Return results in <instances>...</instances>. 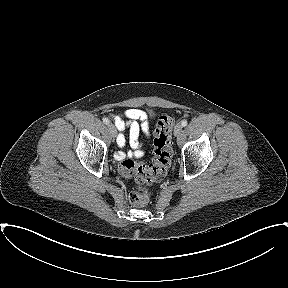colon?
Instances as JSON below:
<instances>
[{
    "label": "colon",
    "instance_id": "1",
    "mask_svg": "<svg viewBox=\"0 0 288 288\" xmlns=\"http://www.w3.org/2000/svg\"><path fill=\"white\" fill-rule=\"evenodd\" d=\"M175 119L169 115L159 118L154 139V156L150 163L136 162L132 158L122 159L119 171L125 178L134 179L139 185H147L162 180L168 170L172 157L171 131ZM149 200V192L145 187L132 191L129 201L136 206L144 205Z\"/></svg>",
    "mask_w": 288,
    "mask_h": 288
}]
</instances>
